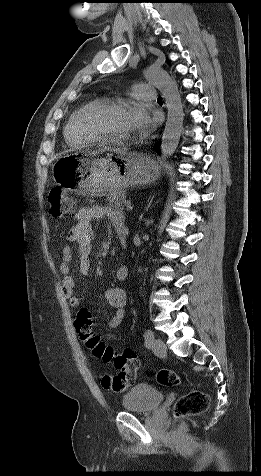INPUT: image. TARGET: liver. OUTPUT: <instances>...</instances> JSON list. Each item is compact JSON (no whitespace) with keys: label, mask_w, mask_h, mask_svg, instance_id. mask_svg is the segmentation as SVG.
Masks as SVG:
<instances>
[{"label":"liver","mask_w":261,"mask_h":476,"mask_svg":"<svg viewBox=\"0 0 261 476\" xmlns=\"http://www.w3.org/2000/svg\"><path fill=\"white\" fill-rule=\"evenodd\" d=\"M113 151L116 152V153H122V152H124L123 150H120V149H116V150H113Z\"/></svg>","instance_id":"1"}]
</instances>
